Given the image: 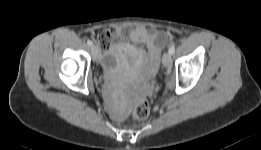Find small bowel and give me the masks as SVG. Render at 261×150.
Returning a JSON list of instances; mask_svg holds the SVG:
<instances>
[{"instance_id":"1","label":"small bowel","mask_w":261,"mask_h":150,"mask_svg":"<svg viewBox=\"0 0 261 150\" xmlns=\"http://www.w3.org/2000/svg\"><path fill=\"white\" fill-rule=\"evenodd\" d=\"M122 33V28L112 27L103 30L98 36L99 44L107 48L111 40L114 37L120 36ZM129 38L135 43H140L145 46V49H138L132 45L126 44L122 48L127 49L137 61H145L152 70H155L161 50L167 41V35L163 31H158L152 26H138L130 30Z\"/></svg>"}]
</instances>
